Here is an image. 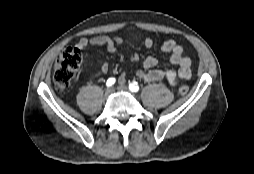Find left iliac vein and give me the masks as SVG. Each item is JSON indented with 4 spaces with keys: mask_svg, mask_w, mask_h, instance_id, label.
I'll return each mask as SVG.
<instances>
[{
    "mask_svg": "<svg viewBox=\"0 0 254 174\" xmlns=\"http://www.w3.org/2000/svg\"><path fill=\"white\" fill-rule=\"evenodd\" d=\"M117 89L119 90V91H123V92H129V89H128V87L127 86H125V85H119L118 87H117Z\"/></svg>",
    "mask_w": 254,
    "mask_h": 174,
    "instance_id": "obj_1",
    "label": "left iliac vein"
}]
</instances>
